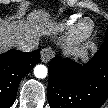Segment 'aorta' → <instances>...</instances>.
I'll return each mask as SVG.
<instances>
[{"label":"aorta","instance_id":"1","mask_svg":"<svg viewBox=\"0 0 108 108\" xmlns=\"http://www.w3.org/2000/svg\"><path fill=\"white\" fill-rule=\"evenodd\" d=\"M48 69L45 65L39 64L34 67V75L39 79H43L47 76Z\"/></svg>","mask_w":108,"mask_h":108}]
</instances>
